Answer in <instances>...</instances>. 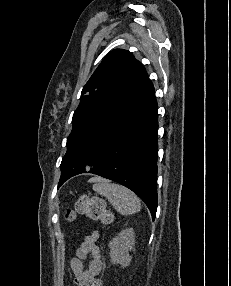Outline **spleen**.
I'll use <instances>...</instances> for the list:
<instances>
[{
    "label": "spleen",
    "instance_id": "spleen-1",
    "mask_svg": "<svg viewBox=\"0 0 231 286\" xmlns=\"http://www.w3.org/2000/svg\"><path fill=\"white\" fill-rule=\"evenodd\" d=\"M93 190L106 197L116 211L122 215L134 214L141 209L137 195L122 185L98 179L93 185Z\"/></svg>",
    "mask_w": 231,
    "mask_h": 286
}]
</instances>
